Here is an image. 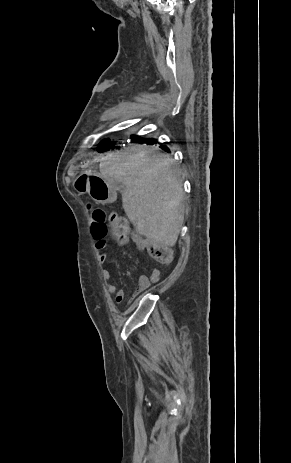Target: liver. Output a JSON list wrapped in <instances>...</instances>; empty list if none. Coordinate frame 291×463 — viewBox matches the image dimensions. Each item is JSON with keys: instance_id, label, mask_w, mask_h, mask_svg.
Instances as JSON below:
<instances>
[{"instance_id": "liver-1", "label": "liver", "mask_w": 291, "mask_h": 463, "mask_svg": "<svg viewBox=\"0 0 291 463\" xmlns=\"http://www.w3.org/2000/svg\"><path fill=\"white\" fill-rule=\"evenodd\" d=\"M172 164L170 156L137 146L109 154L100 163L104 179L124 185L123 208L137 232L170 247L184 221V192Z\"/></svg>"}]
</instances>
